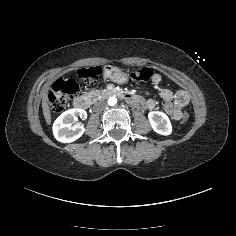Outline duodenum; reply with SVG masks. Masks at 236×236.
<instances>
[{
  "label": "duodenum",
  "instance_id": "1",
  "mask_svg": "<svg viewBox=\"0 0 236 236\" xmlns=\"http://www.w3.org/2000/svg\"><path fill=\"white\" fill-rule=\"evenodd\" d=\"M103 94L105 96H117L119 98H122L125 101H127L128 103H130L132 106H134L138 109H143L148 105L143 99L133 96V95L121 93V92L117 91L116 89H106V90H104ZM73 106L76 109H80V110L87 109L89 106V100L84 96H78L74 99ZM168 108L171 110V112L174 111L173 104H169Z\"/></svg>",
  "mask_w": 236,
  "mask_h": 236
}]
</instances>
